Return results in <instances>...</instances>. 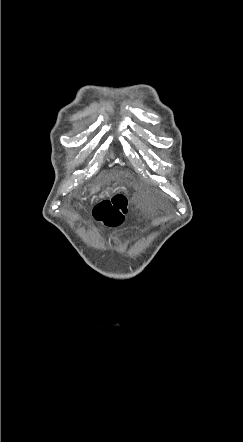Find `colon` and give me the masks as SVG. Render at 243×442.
<instances>
[{
    "label": "colon",
    "instance_id": "obj_1",
    "mask_svg": "<svg viewBox=\"0 0 243 442\" xmlns=\"http://www.w3.org/2000/svg\"><path fill=\"white\" fill-rule=\"evenodd\" d=\"M128 208V200L122 194L114 195L111 199L100 202L93 211L94 219L108 227H118L123 224Z\"/></svg>",
    "mask_w": 243,
    "mask_h": 442
}]
</instances>
